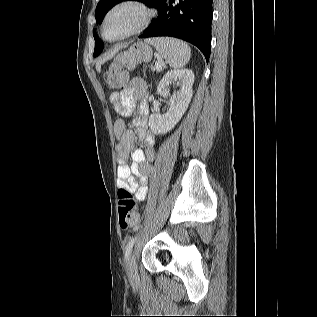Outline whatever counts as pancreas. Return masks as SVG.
I'll return each instance as SVG.
<instances>
[{
  "mask_svg": "<svg viewBox=\"0 0 317 317\" xmlns=\"http://www.w3.org/2000/svg\"><path fill=\"white\" fill-rule=\"evenodd\" d=\"M152 71H155L156 67L155 66H151L150 67Z\"/></svg>",
  "mask_w": 317,
  "mask_h": 317,
  "instance_id": "obj_1",
  "label": "pancreas"
}]
</instances>
